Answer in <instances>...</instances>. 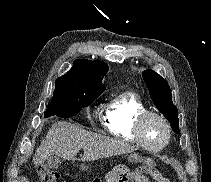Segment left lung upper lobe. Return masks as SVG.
Wrapping results in <instances>:
<instances>
[{"mask_svg": "<svg viewBox=\"0 0 211 182\" xmlns=\"http://www.w3.org/2000/svg\"><path fill=\"white\" fill-rule=\"evenodd\" d=\"M143 79L148 87L149 94L157 109L168 119L171 128L179 131L177 107L172 102V95L167 81L153 70L142 72Z\"/></svg>", "mask_w": 211, "mask_h": 182, "instance_id": "5c2ea615", "label": "left lung upper lobe"}]
</instances>
